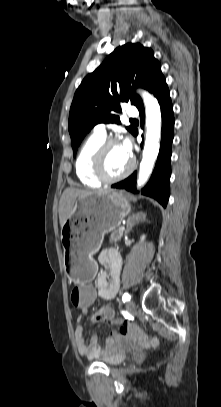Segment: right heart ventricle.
Wrapping results in <instances>:
<instances>
[{"label":"right heart ventricle","mask_w":221,"mask_h":407,"mask_svg":"<svg viewBox=\"0 0 221 407\" xmlns=\"http://www.w3.org/2000/svg\"><path fill=\"white\" fill-rule=\"evenodd\" d=\"M105 140L104 135L91 134L82 144L75 161V171L79 181L88 187H98L101 182L97 180L91 171V162L94 153Z\"/></svg>","instance_id":"right-heart-ventricle-1"}]
</instances>
